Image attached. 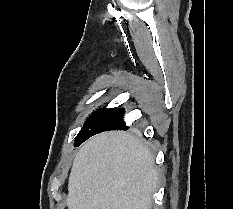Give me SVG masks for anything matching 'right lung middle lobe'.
I'll return each mask as SVG.
<instances>
[{
    "label": "right lung middle lobe",
    "instance_id": "dd1d6c3e",
    "mask_svg": "<svg viewBox=\"0 0 233 209\" xmlns=\"http://www.w3.org/2000/svg\"><path fill=\"white\" fill-rule=\"evenodd\" d=\"M124 108H109V109H100L97 112L93 113L82 130L75 138L74 145L79 146V142L86 136H90L95 132H98L102 129L111 128L115 126H126L123 120Z\"/></svg>",
    "mask_w": 233,
    "mask_h": 209
}]
</instances>
